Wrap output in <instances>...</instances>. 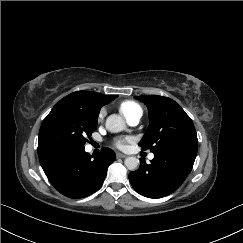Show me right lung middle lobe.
Masks as SVG:
<instances>
[{"mask_svg":"<svg viewBox=\"0 0 243 243\" xmlns=\"http://www.w3.org/2000/svg\"><path fill=\"white\" fill-rule=\"evenodd\" d=\"M97 120V116L57 103L41 124L38 154L54 149L84 148L97 127Z\"/></svg>","mask_w":243,"mask_h":243,"instance_id":"right-lung-middle-lobe-1","label":"right lung middle lobe"}]
</instances>
